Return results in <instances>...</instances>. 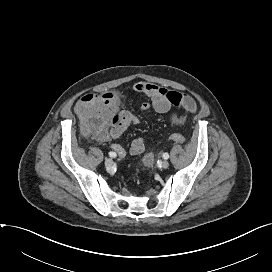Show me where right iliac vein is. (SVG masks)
Here are the masks:
<instances>
[{
  "label": "right iliac vein",
  "mask_w": 272,
  "mask_h": 272,
  "mask_svg": "<svg viewBox=\"0 0 272 272\" xmlns=\"http://www.w3.org/2000/svg\"><path fill=\"white\" fill-rule=\"evenodd\" d=\"M112 164H113V160H112L111 158H107V159L105 160V165H106V167H111Z\"/></svg>",
  "instance_id": "63e3f726"
}]
</instances>
